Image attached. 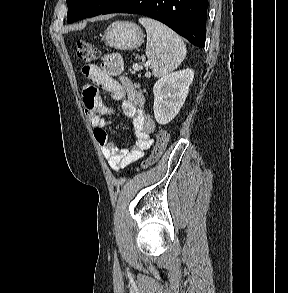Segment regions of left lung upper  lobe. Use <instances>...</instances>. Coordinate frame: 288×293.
<instances>
[{"label": "left lung upper lobe", "mask_w": 288, "mask_h": 293, "mask_svg": "<svg viewBox=\"0 0 288 293\" xmlns=\"http://www.w3.org/2000/svg\"><path fill=\"white\" fill-rule=\"evenodd\" d=\"M117 0H66L68 5L67 22L72 23L87 17L101 14Z\"/></svg>", "instance_id": "left-lung-upper-lobe-1"}]
</instances>
